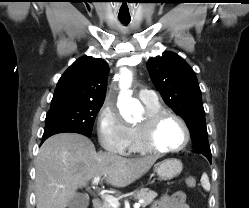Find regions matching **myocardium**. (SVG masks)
Instances as JSON below:
<instances>
[{
    "label": "myocardium",
    "mask_w": 249,
    "mask_h": 208,
    "mask_svg": "<svg viewBox=\"0 0 249 208\" xmlns=\"http://www.w3.org/2000/svg\"><path fill=\"white\" fill-rule=\"evenodd\" d=\"M168 118L175 119L180 123L184 130L185 138L179 147L162 149L153 144L152 136L160 124ZM137 136L138 145L142 152L153 154H170L180 152L187 147L191 139V132L187 123L182 117L173 112L161 110L157 113L146 115V117L137 125Z\"/></svg>",
    "instance_id": "obj_1"
}]
</instances>
